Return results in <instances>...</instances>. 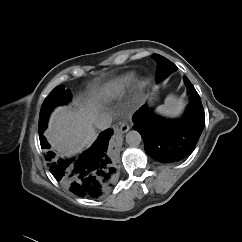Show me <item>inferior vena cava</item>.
Segmentation results:
<instances>
[{
  "label": "inferior vena cava",
  "mask_w": 242,
  "mask_h": 242,
  "mask_svg": "<svg viewBox=\"0 0 242 242\" xmlns=\"http://www.w3.org/2000/svg\"><path fill=\"white\" fill-rule=\"evenodd\" d=\"M112 116L106 112L100 113L94 120L95 128L99 130H106L111 126Z\"/></svg>",
  "instance_id": "1"
}]
</instances>
